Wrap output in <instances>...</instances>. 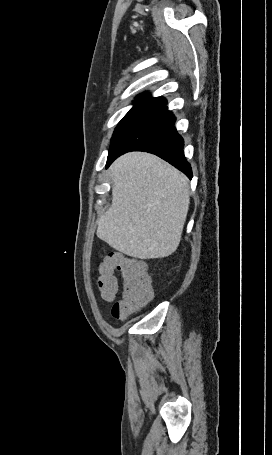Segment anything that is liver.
Listing matches in <instances>:
<instances>
[{"label": "liver", "mask_w": 272, "mask_h": 455, "mask_svg": "<svg viewBox=\"0 0 272 455\" xmlns=\"http://www.w3.org/2000/svg\"><path fill=\"white\" fill-rule=\"evenodd\" d=\"M110 176L112 205L97 221V237L140 259L174 253L190 204L188 179L143 152L118 158L110 167Z\"/></svg>", "instance_id": "liver-1"}]
</instances>
